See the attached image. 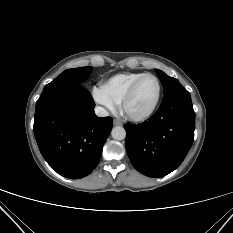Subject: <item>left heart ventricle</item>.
I'll use <instances>...</instances> for the list:
<instances>
[{
    "label": "left heart ventricle",
    "mask_w": 233,
    "mask_h": 233,
    "mask_svg": "<svg viewBox=\"0 0 233 233\" xmlns=\"http://www.w3.org/2000/svg\"><path fill=\"white\" fill-rule=\"evenodd\" d=\"M157 90V83L153 78L143 79L129 101L127 110L132 114H142L148 111L155 102Z\"/></svg>",
    "instance_id": "b2bd125f"
}]
</instances>
